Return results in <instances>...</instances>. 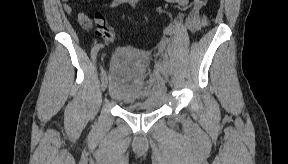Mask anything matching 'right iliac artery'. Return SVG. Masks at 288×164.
I'll return each instance as SVG.
<instances>
[{
    "label": "right iliac artery",
    "instance_id": "obj_1",
    "mask_svg": "<svg viewBox=\"0 0 288 164\" xmlns=\"http://www.w3.org/2000/svg\"><path fill=\"white\" fill-rule=\"evenodd\" d=\"M104 45L103 44H97L95 45L92 50H91V58L93 60L94 63H96V56H97V53L98 51L103 48Z\"/></svg>",
    "mask_w": 288,
    "mask_h": 164
}]
</instances>
